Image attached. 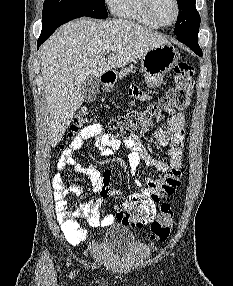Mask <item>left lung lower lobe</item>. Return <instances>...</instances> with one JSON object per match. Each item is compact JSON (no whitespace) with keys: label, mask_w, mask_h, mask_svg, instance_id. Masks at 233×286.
<instances>
[{"label":"left lung lower lobe","mask_w":233,"mask_h":286,"mask_svg":"<svg viewBox=\"0 0 233 286\" xmlns=\"http://www.w3.org/2000/svg\"><path fill=\"white\" fill-rule=\"evenodd\" d=\"M177 39L191 48L196 54L202 56V50L198 45V31L177 36Z\"/></svg>","instance_id":"0a47b994"}]
</instances>
